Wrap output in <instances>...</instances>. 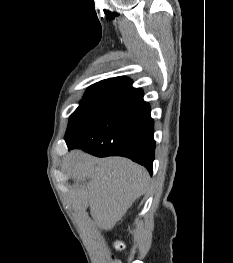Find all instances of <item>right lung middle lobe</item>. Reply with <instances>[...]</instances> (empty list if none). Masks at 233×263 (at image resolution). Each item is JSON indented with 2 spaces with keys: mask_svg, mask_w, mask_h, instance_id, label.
<instances>
[{
  "mask_svg": "<svg viewBox=\"0 0 233 263\" xmlns=\"http://www.w3.org/2000/svg\"><path fill=\"white\" fill-rule=\"evenodd\" d=\"M116 96L85 95L79 107L70 116L66 141L76 140L93 127L108 111Z\"/></svg>",
  "mask_w": 233,
  "mask_h": 263,
  "instance_id": "1",
  "label": "right lung middle lobe"
}]
</instances>
